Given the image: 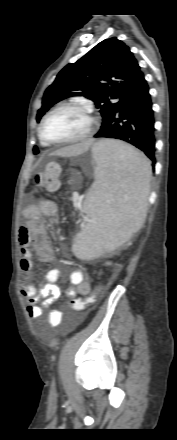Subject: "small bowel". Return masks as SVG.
Wrapping results in <instances>:
<instances>
[{"label": "small bowel", "instance_id": "small-bowel-1", "mask_svg": "<svg viewBox=\"0 0 177 440\" xmlns=\"http://www.w3.org/2000/svg\"><path fill=\"white\" fill-rule=\"evenodd\" d=\"M27 219L26 226L19 230V254L20 266L26 277L33 270V254L30 249L34 247L38 259L42 262L51 263L55 260L52 248L45 234V218H56L58 215L57 205L52 201L43 200L36 204L28 205L24 211ZM68 282L65 290L67 298H79L77 296H87L91 290V284L81 269L73 270L68 280L63 276L59 269L49 270L44 281L38 284L23 283L21 294L27 300V314L31 319H37L42 315L43 309L50 307L62 296V290L57 285L58 280ZM65 314L61 311H51L49 314V324L52 327L58 326Z\"/></svg>", "mask_w": 177, "mask_h": 440}]
</instances>
